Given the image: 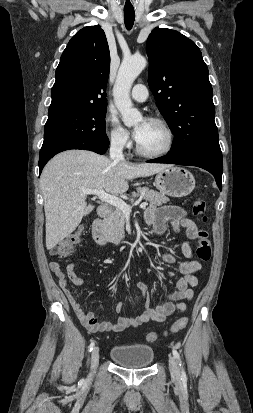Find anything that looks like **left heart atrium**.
I'll use <instances>...</instances> for the list:
<instances>
[{"label": "left heart atrium", "instance_id": "39dd6f15", "mask_svg": "<svg viewBox=\"0 0 253 413\" xmlns=\"http://www.w3.org/2000/svg\"><path fill=\"white\" fill-rule=\"evenodd\" d=\"M147 122H148V121H146V120H145V121H142V123H141L138 127L135 128V130H134V137H135L136 140H138L139 137L141 136L144 128H145L146 125H147Z\"/></svg>", "mask_w": 253, "mask_h": 413}]
</instances>
